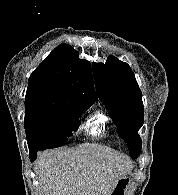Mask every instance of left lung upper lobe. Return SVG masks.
Wrapping results in <instances>:
<instances>
[{
	"mask_svg": "<svg viewBox=\"0 0 178 195\" xmlns=\"http://www.w3.org/2000/svg\"><path fill=\"white\" fill-rule=\"evenodd\" d=\"M93 75L99 99L110 110L118 134L129 144L132 158L141 152L138 130L143 125L142 93L130 66L109 56L106 63H93Z\"/></svg>",
	"mask_w": 178,
	"mask_h": 195,
	"instance_id": "5c2ea615",
	"label": "left lung upper lobe"
}]
</instances>
